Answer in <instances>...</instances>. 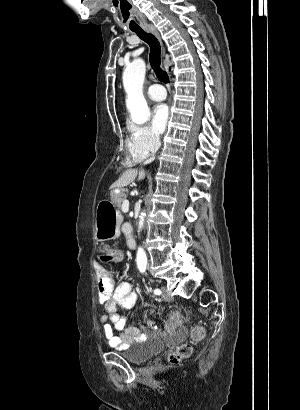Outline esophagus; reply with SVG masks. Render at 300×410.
<instances>
[{"label": "esophagus", "instance_id": "obj_1", "mask_svg": "<svg viewBox=\"0 0 300 410\" xmlns=\"http://www.w3.org/2000/svg\"><path fill=\"white\" fill-rule=\"evenodd\" d=\"M144 28L146 29V31L152 33L159 40V42L162 45V53L165 54V48L163 47L162 39H161L159 31L153 25H150V24L146 25Z\"/></svg>", "mask_w": 300, "mask_h": 410}]
</instances>
